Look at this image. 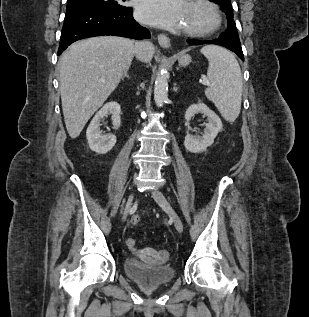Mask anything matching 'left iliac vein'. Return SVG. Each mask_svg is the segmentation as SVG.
<instances>
[{
	"label": "left iliac vein",
	"mask_w": 309,
	"mask_h": 317,
	"mask_svg": "<svg viewBox=\"0 0 309 317\" xmlns=\"http://www.w3.org/2000/svg\"><path fill=\"white\" fill-rule=\"evenodd\" d=\"M152 197L157 202V204L169 214L177 231L182 233L183 232L182 220L180 219L178 214L174 211L173 207L171 206L169 201L166 199V197L163 195V193L159 191L158 189H154L152 191Z\"/></svg>",
	"instance_id": "4c4485c4"
}]
</instances>
